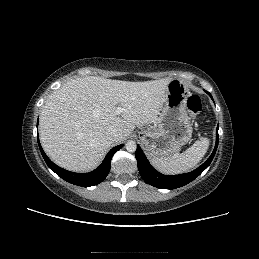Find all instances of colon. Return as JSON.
<instances>
[{"mask_svg":"<svg viewBox=\"0 0 259 259\" xmlns=\"http://www.w3.org/2000/svg\"><path fill=\"white\" fill-rule=\"evenodd\" d=\"M186 108L192 118H197L201 112L202 104L197 95H191L186 101Z\"/></svg>","mask_w":259,"mask_h":259,"instance_id":"obj_1","label":"colon"}]
</instances>
